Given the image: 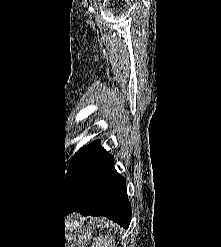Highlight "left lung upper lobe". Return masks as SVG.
<instances>
[{
  "label": "left lung upper lobe",
  "instance_id": "left-lung-upper-lobe-1",
  "mask_svg": "<svg viewBox=\"0 0 221 247\" xmlns=\"http://www.w3.org/2000/svg\"><path fill=\"white\" fill-rule=\"evenodd\" d=\"M91 145L84 147L82 150H80L74 157V159L72 160L69 169L64 177L63 175V184H64V188H66L69 184V182L71 181V179L73 178L77 168L79 167L83 157L85 156V154L87 153V150L89 149Z\"/></svg>",
  "mask_w": 221,
  "mask_h": 247
}]
</instances>
